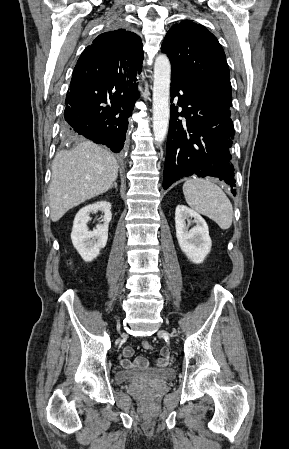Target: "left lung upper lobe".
<instances>
[{"mask_svg": "<svg viewBox=\"0 0 289 449\" xmlns=\"http://www.w3.org/2000/svg\"><path fill=\"white\" fill-rule=\"evenodd\" d=\"M161 50L171 62V76L195 81L229 109L232 87L225 53L216 37L202 25L182 21L167 32Z\"/></svg>", "mask_w": 289, "mask_h": 449, "instance_id": "left-lung-upper-lobe-1", "label": "left lung upper lobe"}]
</instances>
